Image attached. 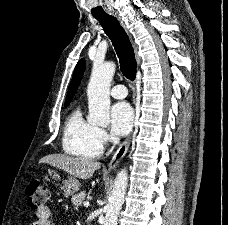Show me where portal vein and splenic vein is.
Segmentation results:
<instances>
[{
  "label": "portal vein and splenic vein",
  "mask_w": 228,
  "mask_h": 225,
  "mask_svg": "<svg viewBox=\"0 0 228 225\" xmlns=\"http://www.w3.org/2000/svg\"><path fill=\"white\" fill-rule=\"evenodd\" d=\"M84 207H89L90 203H83Z\"/></svg>",
  "instance_id": "portal-vein-and-splenic-vein-1"
}]
</instances>
